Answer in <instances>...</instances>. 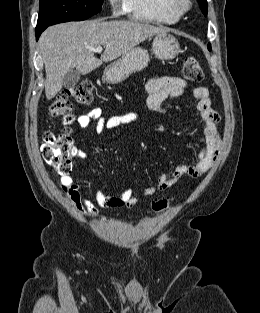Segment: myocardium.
<instances>
[{
  "label": "myocardium",
  "instance_id": "obj_1",
  "mask_svg": "<svg viewBox=\"0 0 260 313\" xmlns=\"http://www.w3.org/2000/svg\"><path fill=\"white\" fill-rule=\"evenodd\" d=\"M165 5L180 17L190 10L192 2L191 0H165Z\"/></svg>",
  "mask_w": 260,
  "mask_h": 313
}]
</instances>
